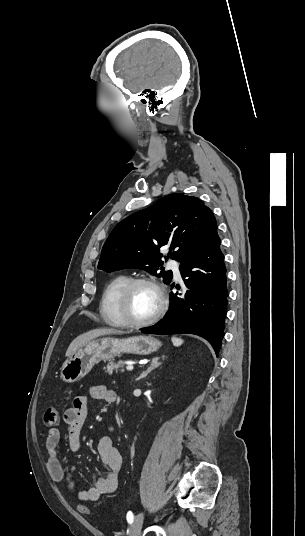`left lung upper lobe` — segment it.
<instances>
[{
  "label": "left lung upper lobe",
  "instance_id": "left-lung-upper-lobe-1",
  "mask_svg": "<svg viewBox=\"0 0 305 536\" xmlns=\"http://www.w3.org/2000/svg\"><path fill=\"white\" fill-rule=\"evenodd\" d=\"M217 222L212 211L193 196L170 194L118 223L105 242L98 268L107 272L138 268L172 280L162 269L160 248L170 246V257L182 262L207 240Z\"/></svg>",
  "mask_w": 305,
  "mask_h": 536
}]
</instances>
